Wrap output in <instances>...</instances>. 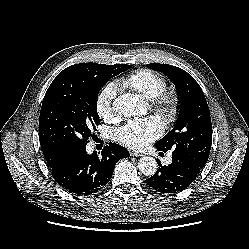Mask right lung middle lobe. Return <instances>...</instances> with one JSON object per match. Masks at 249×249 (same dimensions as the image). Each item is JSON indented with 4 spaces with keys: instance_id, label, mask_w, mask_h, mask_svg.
Masks as SVG:
<instances>
[{
    "instance_id": "dd1d6c3e",
    "label": "right lung middle lobe",
    "mask_w": 249,
    "mask_h": 249,
    "mask_svg": "<svg viewBox=\"0 0 249 249\" xmlns=\"http://www.w3.org/2000/svg\"><path fill=\"white\" fill-rule=\"evenodd\" d=\"M129 68L127 64L94 63L91 70L72 65L61 71L50 84L41 107L42 151L72 155L86 148L100 121L96 109L99 90Z\"/></svg>"
}]
</instances>
